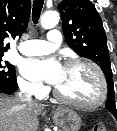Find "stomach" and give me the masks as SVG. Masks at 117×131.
Wrapping results in <instances>:
<instances>
[{"mask_svg": "<svg viewBox=\"0 0 117 131\" xmlns=\"http://www.w3.org/2000/svg\"><path fill=\"white\" fill-rule=\"evenodd\" d=\"M53 120L60 127L61 131H79L81 127L80 116L68 108H59L56 110Z\"/></svg>", "mask_w": 117, "mask_h": 131, "instance_id": "stomach-1", "label": "stomach"}]
</instances>
